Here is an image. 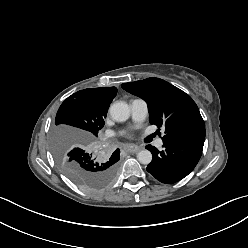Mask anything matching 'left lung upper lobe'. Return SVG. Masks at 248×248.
I'll list each match as a JSON object with an SVG mask.
<instances>
[{
  "instance_id": "5c2ea615",
  "label": "left lung upper lobe",
  "mask_w": 248,
  "mask_h": 248,
  "mask_svg": "<svg viewBox=\"0 0 248 248\" xmlns=\"http://www.w3.org/2000/svg\"><path fill=\"white\" fill-rule=\"evenodd\" d=\"M122 88L139 96L148 105L150 123L165 129L162 137L167 142L180 134L205 129L203 118L193 99L172 84L159 78L124 83Z\"/></svg>"
}]
</instances>
